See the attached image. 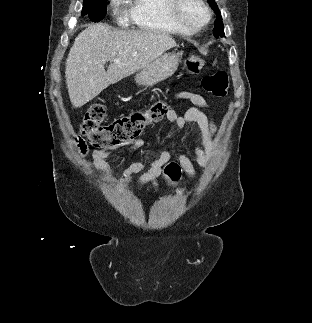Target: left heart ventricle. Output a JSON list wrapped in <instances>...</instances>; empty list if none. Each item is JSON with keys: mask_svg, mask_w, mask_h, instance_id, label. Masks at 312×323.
Returning a JSON list of instances; mask_svg holds the SVG:
<instances>
[{"mask_svg": "<svg viewBox=\"0 0 312 323\" xmlns=\"http://www.w3.org/2000/svg\"><path fill=\"white\" fill-rule=\"evenodd\" d=\"M207 13L206 7H200V2L196 0H183L182 7H179V14L183 18H205Z\"/></svg>", "mask_w": 312, "mask_h": 323, "instance_id": "left-heart-ventricle-1", "label": "left heart ventricle"}]
</instances>
